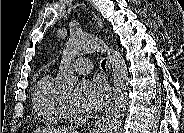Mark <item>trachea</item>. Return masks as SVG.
<instances>
[{"label":"trachea","mask_w":184,"mask_h":133,"mask_svg":"<svg viewBox=\"0 0 184 133\" xmlns=\"http://www.w3.org/2000/svg\"><path fill=\"white\" fill-rule=\"evenodd\" d=\"M101 67H102V69H105V67H106V60H103V61H102Z\"/></svg>","instance_id":"1"}]
</instances>
